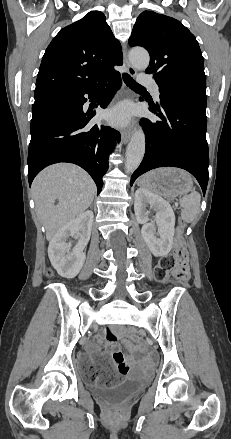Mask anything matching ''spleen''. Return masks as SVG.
I'll list each match as a JSON object with an SVG mask.
<instances>
[{
	"instance_id": "spleen-1",
	"label": "spleen",
	"mask_w": 231,
	"mask_h": 439,
	"mask_svg": "<svg viewBox=\"0 0 231 439\" xmlns=\"http://www.w3.org/2000/svg\"><path fill=\"white\" fill-rule=\"evenodd\" d=\"M201 196L198 192L193 191L180 199V205L183 207L181 218L184 222H193L199 213Z\"/></svg>"
}]
</instances>
